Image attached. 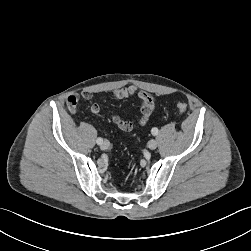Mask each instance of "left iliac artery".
<instances>
[{"instance_id": "1", "label": "left iliac artery", "mask_w": 251, "mask_h": 251, "mask_svg": "<svg viewBox=\"0 0 251 251\" xmlns=\"http://www.w3.org/2000/svg\"><path fill=\"white\" fill-rule=\"evenodd\" d=\"M151 133L156 136L158 134V129L156 127L152 128Z\"/></svg>"}]
</instances>
